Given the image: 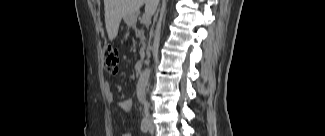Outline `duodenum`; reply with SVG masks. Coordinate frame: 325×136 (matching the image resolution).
Returning a JSON list of instances; mask_svg holds the SVG:
<instances>
[{"instance_id": "410a0bca", "label": "duodenum", "mask_w": 325, "mask_h": 136, "mask_svg": "<svg viewBox=\"0 0 325 136\" xmlns=\"http://www.w3.org/2000/svg\"><path fill=\"white\" fill-rule=\"evenodd\" d=\"M143 67H144V61H138L135 64V73L140 74L143 70Z\"/></svg>"}]
</instances>
